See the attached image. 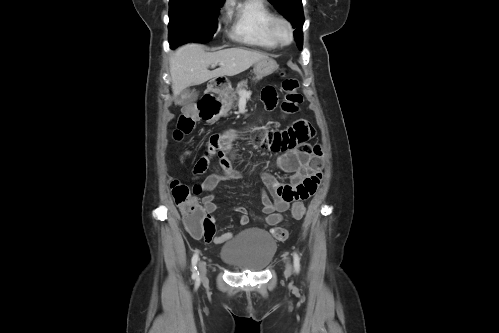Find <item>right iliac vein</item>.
<instances>
[{
    "label": "right iliac vein",
    "instance_id": "1",
    "mask_svg": "<svg viewBox=\"0 0 499 333\" xmlns=\"http://www.w3.org/2000/svg\"><path fill=\"white\" fill-rule=\"evenodd\" d=\"M199 271H200V278L201 280H204L206 278V263L204 261L199 262Z\"/></svg>",
    "mask_w": 499,
    "mask_h": 333
}]
</instances>
